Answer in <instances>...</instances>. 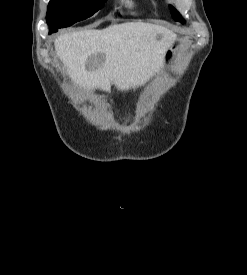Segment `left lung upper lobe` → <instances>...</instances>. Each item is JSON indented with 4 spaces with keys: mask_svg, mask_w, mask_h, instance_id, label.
<instances>
[{
    "mask_svg": "<svg viewBox=\"0 0 247 275\" xmlns=\"http://www.w3.org/2000/svg\"><path fill=\"white\" fill-rule=\"evenodd\" d=\"M170 9H171V14H172V17L176 20V21H179V22H184V19L181 17V15L172 7V6H169Z\"/></svg>",
    "mask_w": 247,
    "mask_h": 275,
    "instance_id": "obj_1",
    "label": "left lung upper lobe"
}]
</instances>
